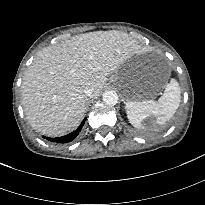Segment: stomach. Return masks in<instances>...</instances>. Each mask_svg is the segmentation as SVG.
Returning <instances> with one entry per match:
<instances>
[{
	"label": "stomach",
	"mask_w": 205,
	"mask_h": 205,
	"mask_svg": "<svg viewBox=\"0 0 205 205\" xmlns=\"http://www.w3.org/2000/svg\"><path fill=\"white\" fill-rule=\"evenodd\" d=\"M111 83L117 87L126 101H142L155 98L165 87L166 81H148L143 68L136 62H127L111 76Z\"/></svg>",
	"instance_id": "obj_1"
}]
</instances>
